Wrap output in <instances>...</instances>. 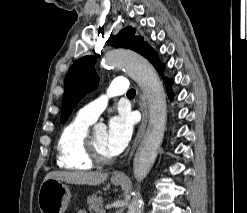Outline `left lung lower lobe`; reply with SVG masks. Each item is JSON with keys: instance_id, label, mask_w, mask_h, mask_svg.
Listing matches in <instances>:
<instances>
[{"instance_id": "1", "label": "left lung lower lobe", "mask_w": 247, "mask_h": 213, "mask_svg": "<svg viewBox=\"0 0 247 213\" xmlns=\"http://www.w3.org/2000/svg\"><path fill=\"white\" fill-rule=\"evenodd\" d=\"M153 65L155 66V68H156L160 73H162L163 68H164V66H163L162 63L157 62V63H153ZM164 81H165L166 86H167L168 96H169L170 98H172V97L174 96L173 93H172L171 90H170V86H171V84H172V80L164 78Z\"/></svg>"}]
</instances>
